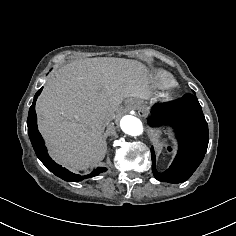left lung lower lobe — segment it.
I'll return each mask as SVG.
<instances>
[{
  "label": "left lung lower lobe",
  "instance_id": "0a47b994",
  "mask_svg": "<svg viewBox=\"0 0 236 236\" xmlns=\"http://www.w3.org/2000/svg\"><path fill=\"white\" fill-rule=\"evenodd\" d=\"M194 94L169 102L157 103L147 119L151 127L171 126L178 140V152L171 166L163 173L155 168V152L151 147L152 171L159 181L181 183L186 181L201 164L207 151L208 124L201 105Z\"/></svg>",
  "mask_w": 236,
  "mask_h": 236
}]
</instances>
